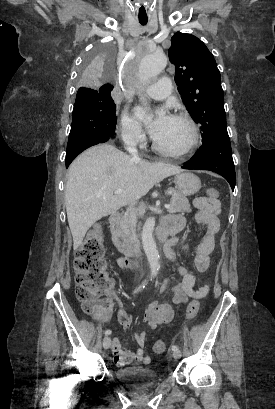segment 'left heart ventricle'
Returning a JSON list of instances; mask_svg holds the SVG:
<instances>
[{"instance_id": "obj_1", "label": "left heart ventricle", "mask_w": 275, "mask_h": 409, "mask_svg": "<svg viewBox=\"0 0 275 409\" xmlns=\"http://www.w3.org/2000/svg\"><path fill=\"white\" fill-rule=\"evenodd\" d=\"M152 136L162 147L179 149L189 140L190 131L184 122L167 118Z\"/></svg>"}]
</instances>
